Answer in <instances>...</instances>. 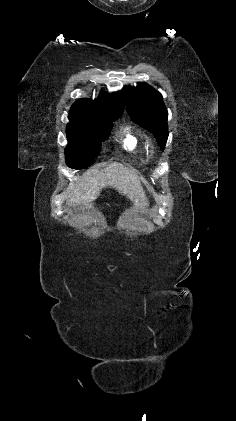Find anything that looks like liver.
<instances>
[{
	"mask_svg": "<svg viewBox=\"0 0 236 421\" xmlns=\"http://www.w3.org/2000/svg\"><path fill=\"white\" fill-rule=\"evenodd\" d=\"M110 186L118 192H123L127 198L136 202V206L146 208L149 200L146 198L139 174L132 166H124L121 162H110L106 168L91 166L77 178L74 188L65 198L69 204L81 202V200H95L100 194L101 188Z\"/></svg>",
	"mask_w": 236,
	"mask_h": 421,
	"instance_id": "liver-1",
	"label": "liver"
}]
</instances>
